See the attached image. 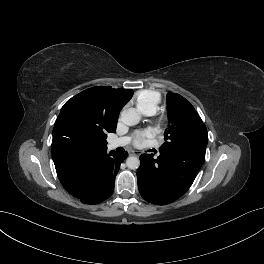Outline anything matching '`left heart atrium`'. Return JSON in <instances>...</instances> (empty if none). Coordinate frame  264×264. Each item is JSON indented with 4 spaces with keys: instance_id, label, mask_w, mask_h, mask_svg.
<instances>
[{
    "instance_id": "obj_1",
    "label": "left heart atrium",
    "mask_w": 264,
    "mask_h": 264,
    "mask_svg": "<svg viewBox=\"0 0 264 264\" xmlns=\"http://www.w3.org/2000/svg\"><path fill=\"white\" fill-rule=\"evenodd\" d=\"M148 136H149L148 132H145V131L137 132L135 135L134 144L136 146L142 145L145 138H147Z\"/></svg>"
}]
</instances>
